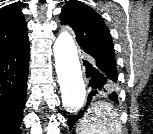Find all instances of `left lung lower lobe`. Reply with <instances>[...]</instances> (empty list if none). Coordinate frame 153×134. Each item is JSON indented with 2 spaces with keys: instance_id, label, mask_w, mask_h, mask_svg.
<instances>
[{
  "instance_id": "obj_1",
  "label": "left lung lower lobe",
  "mask_w": 153,
  "mask_h": 134,
  "mask_svg": "<svg viewBox=\"0 0 153 134\" xmlns=\"http://www.w3.org/2000/svg\"><path fill=\"white\" fill-rule=\"evenodd\" d=\"M83 65L86 68V76L89 80L88 87L91 88V91L88 95L87 106L84 110L77 115H70L68 117V124L70 128H72L76 121L81 118L91 100L100 93H107L111 100L118 102L116 91L110 92L107 90L108 85L118 79L117 71L92 58L84 60Z\"/></svg>"
}]
</instances>
